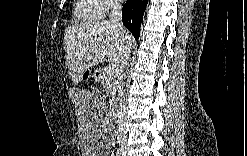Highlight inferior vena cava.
I'll return each instance as SVG.
<instances>
[{
    "instance_id": "inferior-vena-cava-1",
    "label": "inferior vena cava",
    "mask_w": 247,
    "mask_h": 156,
    "mask_svg": "<svg viewBox=\"0 0 247 156\" xmlns=\"http://www.w3.org/2000/svg\"><path fill=\"white\" fill-rule=\"evenodd\" d=\"M110 22L120 29H123L122 24V7L119 1L114 0L111 1L110 4ZM130 47H127L124 51L123 58L121 61V70L120 75L118 77L117 89H118V97H117V105H116V118H117V129L119 133V138L126 137L127 131L125 129V116H126V102L124 96V69L127 66L128 59L130 57Z\"/></svg>"
}]
</instances>
